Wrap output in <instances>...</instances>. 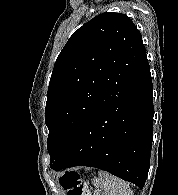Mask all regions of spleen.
<instances>
[{"label":"spleen","mask_w":178,"mask_h":195,"mask_svg":"<svg viewBox=\"0 0 178 195\" xmlns=\"http://www.w3.org/2000/svg\"><path fill=\"white\" fill-rule=\"evenodd\" d=\"M93 185L103 190L105 195H133L128 183L107 172L99 171Z\"/></svg>","instance_id":"spleen-1"}]
</instances>
